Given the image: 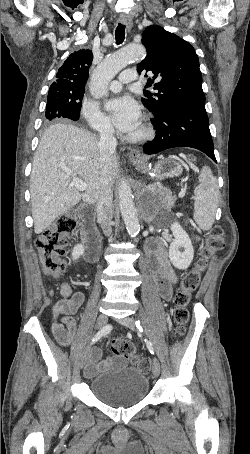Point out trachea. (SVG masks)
<instances>
[{"mask_svg":"<svg viewBox=\"0 0 250 454\" xmlns=\"http://www.w3.org/2000/svg\"><path fill=\"white\" fill-rule=\"evenodd\" d=\"M116 44H121L125 39V25L119 23L115 31Z\"/></svg>","mask_w":250,"mask_h":454,"instance_id":"trachea-1","label":"trachea"}]
</instances>
